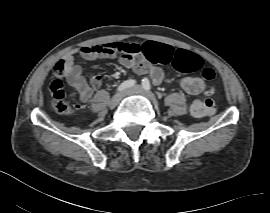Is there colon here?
Segmentation results:
<instances>
[{"label":"colon","instance_id":"obj_1","mask_svg":"<svg viewBox=\"0 0 270 213\" xmlns=\"http://www.w3.org/2000/svg\"><path fill=\"white\" fill-rule=\"evenodd\" d=\"M109 52L114 54H125L131 56H139L144 53V49L136 43L114 42L107 45ZM201 57L197 54L179 50L173 56L171 62L175 69L180 73H191L200 69ZM204 79L212 82L215 78L214 71L211 68H205L202 71ZM214 88L208 87L207 90L198 96L191 105V113L197 117H205L213 114L215 111V103L212 99ZM51 104L56 112L60 114H68L71 106L65 99V92L60 81L56 80L51 85Z\"/></svg>","mask_w":270,"mask_h":213}]
</instances>
